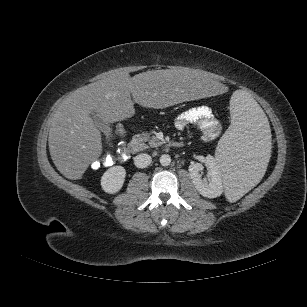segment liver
Here are the masks:
<instances>
[{"label": "liver", "mask_w": 307, "mask_h": 307, "mask_svg": "<svg viewBox=\"0 0 307 307\" xmlns=\"http://www.w3.org/2000/svg\"><path fill=\"white\" fill-rule=\"evenodd\" d=\"M225 88L207 72L185 67L147 71L133 77L125 72L109 74L72 92L55 111L48 137L53 163L66 178L77 180L101 155V133L90 117L93 111L114 123L135 114L133 100L142 107L163 109L221 95Z\"/></svg>", "instance_id": "1"}]
</instances>
